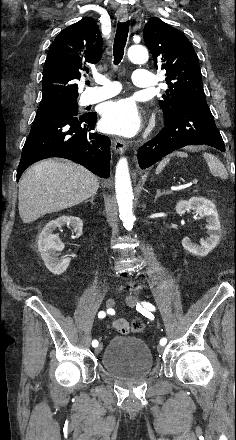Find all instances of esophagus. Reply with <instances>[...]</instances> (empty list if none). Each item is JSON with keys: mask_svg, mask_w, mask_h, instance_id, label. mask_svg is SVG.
Wrapping results in <instances>:
<instances>
[{"mask_svg": "<svg viewBox=\"0 0 236 440\" xmlns=\"http://www.w3.org/2000/svg\"><path fill=\"white\" fill-rule=\"evenodd\" d=\"M118 18L122 22H125L128 20L129 14H128V10L125 6L120 7V9L118 10ZM112 144H113L114 150L117 153L122 154L126 150V144L123 140L115 139L112 141Z\"/></svg>", "mask_w": 236, "mask_h": 440, "instance_id": "34e87169", "label": "esophagus"}]
</instances>
